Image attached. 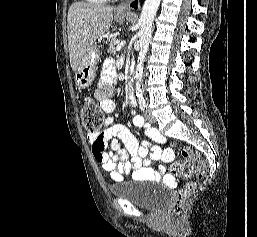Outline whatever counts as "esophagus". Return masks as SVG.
I'll use <instances>...</instances> for the list:
<instances>
[{
  "label": "esophagus",
  "instance_id": "obj_1",
  "mask_svg": "<svg viewBox=\"0 0 257 237\" xmlns=\"http://www.w3.org/2000/svg\"><path fill=\"white\" fill-rule=\"evenodd\" d=\"M132 0H123L116 8L117 12H129L130 3Z\"/></svg>",
  "mask_w": 257,
  "mask_h": 237
}]
</instances>
